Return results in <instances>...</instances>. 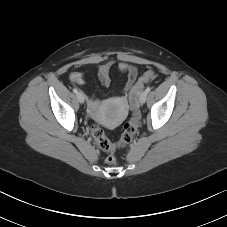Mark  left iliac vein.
<instances>
[{
    "label": "left iliac vein",
    "mask_w": 227,
    "mask_h": 227,
    "mask_svg": "<svg viewBox=\"0 0 227 227\" xmlns=\"http://www.w3.org/2000/svg\"><path fill=\"white\" fill-rule=\"evenodd\" d=\"M147 98V92L143 91L139 96V103L144 104Z\"/></svg>",
    "instance_id": "4c4485c4"
}]
</instances>
